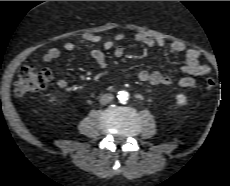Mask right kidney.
<instances>
[{"mask_svg":"<svg viewBox=\"0 0 230 186\" xmlns=\"http://www.w3.org/2000/svg\"><path fill=\"white\" fill-rule=\"evenodd\" d=\"M55 101V97H51L50 102Z\"/></svg>","mask_w":230,"mask_h":186,"instance_id":"ca27d5eb","label":"right kidney"}]
</instances>
